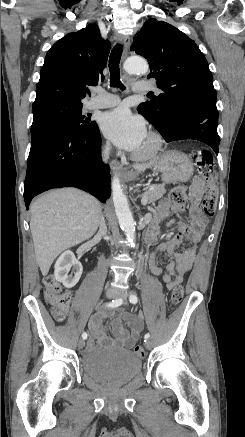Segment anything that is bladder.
Wrapping results in <instances>:
<instances>
[{
  "label": "bladder",
  "mask_w": 245,
  "mask_h": 437,
  "mask_svg": "<svg viewBox=\"0 0 245 437\" xmlns=\"http://www.w3.org/2000/svg\"><path fill=\"white\" fill-rule=\"evenodd\" d=\"M81 367L86 375L101 383L122 385L139 374L142 362L127 349L96 348L83 354Z\"/></svg>",
  "instance_id": "obj_1"
}]
</instances>
